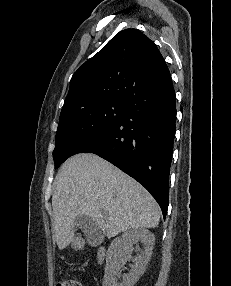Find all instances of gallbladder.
I'll list each match as a JSON object with an SVG mask.
<instances>
[{"instance_id": "bac80fb5", "label": "gallbladder", "mask_w": 231, "mask_h": 286, "mask_svg": "<svg viewBox=\"0 0 231 286\" xmlns=\"http://www.w3.org/2000/svg\"><path fill=\"white\" fill-rule=\"evenodd\" d=\"M72 227L82 229L83 232H86L85 234H96L98 231L96 222L86 213H79Z\"/></svg>"}]
</instances>
